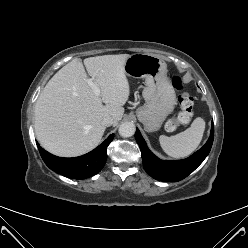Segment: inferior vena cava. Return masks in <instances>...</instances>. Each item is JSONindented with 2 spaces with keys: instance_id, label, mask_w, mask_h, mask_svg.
I'll use <instances>...</instances> for the list:
<instances>
[{
  "instance_id": "602c4592",
  "label": "inferior vena cava",
  "mask_w": 248,
  "mask_h": 248,
  "mask_svg": "<svg viewBox=\"0 0 248 248\" xmlns=\"http://www.w3.org/2000/svg\"><path fill=\"white\" fill-rule=\"evenodd\" d=\"M114 120L111 116H106L102 119L101 123L104 126H111L113 124Z\"/></svg>"
}]
</instances>
